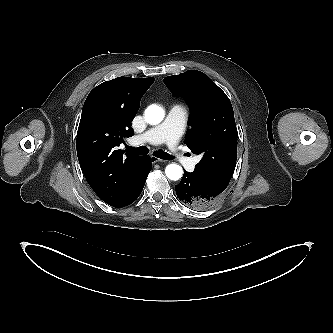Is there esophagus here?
Masks as SVG:
<instances>
[{"label": "esophagus", "mask_w": 333, "mask_h": 333, "mask_svg": "<svg viewBox=\"0 0 333 333\" xmlns=\"http://www.w3.org/2000/svg\"><path fill=\"white\" fill-rule=\"evenodd\" d=\"M152 163H157V162H165L163 159H160L156 156H151L150 157Z\"/></svg>", "instance_id": "esophagus-1"}]
</instances>
